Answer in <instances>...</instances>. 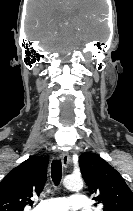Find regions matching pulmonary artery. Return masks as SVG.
<instances>
[{
	"mask_svg": "<svg viewBox=\"0 0 133 211\" xmlns=\"http://www.w3.org/2000/svg\"><path fill=\"white\" fill-rule=\"evenodd\" d=\"M87 198L79 193L72 194L68 198L57 197L42 200L33 211H87Z\"/></svg>",
	"mask_w": 133,
	"mask_h": 211,
	"instance_id": "e3ab8cb5",
	"label": "pulmonary artery"
}]
</instances>
